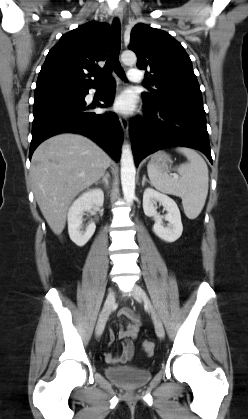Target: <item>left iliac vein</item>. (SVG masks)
<instances>
[{
	"label": "left iliac vein",
	"instance_id": "left-iliac-vein-1",
	"mask_svg": "<svg viewBox=\"0 0 248 419\" xmlns=\"http://www.w3.org/2000/svg\"><path fill=\"white\" fill-rule=\"evenodd\" d=\"M131 293L136 300H142L144 302V304L146 305L147 310L149 311V313L151 314V316L154 320L155 331H156L157 336L160 339H163L165 337L164 327H163L161 321L159 320V318L156 314V311H155L149 297L145 293V291L140 286L134 285L132 290H131Z\"/></svg>",
	"mask_w": 248,
	"mask_h": 419
}]
</instances>
